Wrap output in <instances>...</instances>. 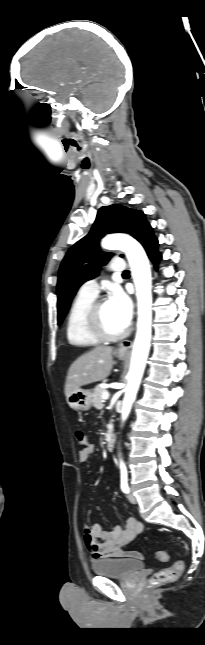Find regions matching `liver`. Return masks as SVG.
Listing matches in <instances>:
<instances>
[{"mask_svg": "<svg viewBox=\"0 0 205 645\" xmlns=\"http://www.w3.org/2000/svg\"><path fill=\"white\" fill-rule=\"evenodd\" d=\"M113 348L97 346L77 358L70 366L66 378L64 392L66 397L73 391L109 376L113 361Z\"/></svg>", "mask_w": 205, "mask_h": 645, "instance_id": "1", "label": "liver"}]
</instances>
